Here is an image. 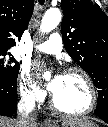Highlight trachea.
<instances>
[{
  "label": "trachea",
  "mask_w": 108,
  "mask_h": 127,
  "mask_svg": "<svg viewBox=\"0 0 108 127\" xmlns=\"http://www.w3.org/2000/svg\"><path fill=\"white\" fill-rule=\"evenodd\" d=\"M39 2H40L41 4H44V0H39Z\"/></svg>",
  "instance_id": "1"
}]
</instances>
